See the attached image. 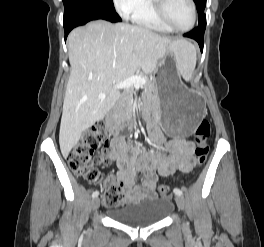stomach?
<instances>
[{"label": "stomach", "instance_id": "stomach-1", "mask_svg": "<svg viewBox=\"0 0 264 247\" xmlns=\"http://www.w3.org/2000/svg\"><path fill=\"white\" fill-rule=\"evenodd\" d=\"M173 51V46L169 47ZM176 57H162L156 70L157 97L161 107V117L167 136L173 141H181V136H193L196 125L204 118L205 94H191L179 81ZM173 81V82H172Z\"/></svg>", "mask_w": 264, "mask_h": 247}]
</instances>
